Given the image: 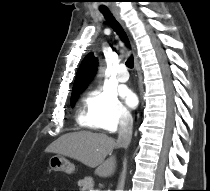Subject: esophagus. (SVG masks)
<instances>
[{"mask_svg":"<svg viewBox=\"0 0 210 191\" xmlns=\"http://www.w3.org/2000/svg\"><path fill=\"white\" fill-rule=\"evenodd\" d=\"M113 12H114L115 16L117 17V19H119V18H118V13H117V11H116V10H113Z\"/></svg>","mask_w":210,"mask_h":191,"instance_id":"1","label":"esophagus"}]
</instances>
